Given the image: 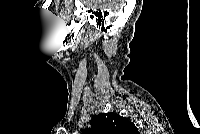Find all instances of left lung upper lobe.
I'll use <instances>...</instances> for the list:
<instances>
[{
  "label": "left lung upper lobe",
  "instance_id": "left-lung-upper-lobe-1",
  "mask_svg": "<svg viewBox=\"0 0 200 134\" xmlns=\"http://www.w3.org/2000/svg\"><path fill=\"white\" fill-rule=\"evenodd\" d=\"M91 124L92 127L83 134H139L132 122L115 113L95 115Z\"/></svg>",
  "mask_w": 200,
  "mask_h": 134
}]
</instances>
